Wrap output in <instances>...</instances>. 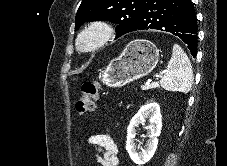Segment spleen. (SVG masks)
I'll list each match as a JSON object with an SVG mask.
<instances>
[{
	"label": "spleen",
	"mask_w": 227,
	"mask_h": 166,
	"mask_svg": "<svg viewBox=\"0 0 227 166\" xmlns=\"http://www.w3.org/2000/svg\"><path fill=\"white\" fill-rule=\"evenodd\" d=\"M193 84V71L188 56L183 49L173 45L172 57L167 65L165 74L160 80V85L168 91L188 93Z\"/></svg>",
	"instance_id": "spleen-1"
}]
</instances>
